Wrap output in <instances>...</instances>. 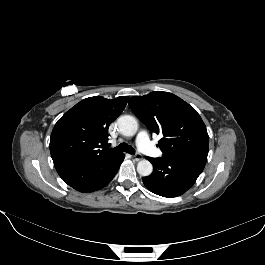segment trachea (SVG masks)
I'll list each match as a JSON object with an SVG mask.
<instances>
[{
  "instance_id": "3493384b",
  "label": "trachea",
  "mask_w": 265,
  "mask_h": 265,
  "mask_svg": "<svg viewBox=\"0 0 265 265\" xmlns=\"http://www.w3.org/2000/svg\"><path fill=\"white\" fill-rule=\"evenodd\" d=\"M115 150L126 152L129 154H135V150L128 144L126 143H120Z\"/></svg>"
}]
</instances>
